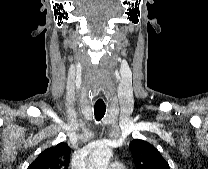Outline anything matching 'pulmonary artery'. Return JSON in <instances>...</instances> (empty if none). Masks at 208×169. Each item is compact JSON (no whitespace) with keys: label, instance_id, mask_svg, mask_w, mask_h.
<instances>
[{"label":"pulmonary artery","instance_id":"obj_1","mask_svg":"<svg viewBox=\"0 0 208 169\" xmlns=\"http://www.w3.org/2000/svg\"><path fill=\"white\" fill-rule=\"evenodd\" d=\"M109 169H125V166L120 162H114L109 166Z\"/></svg>","mask_w":208,"mask_h":169}]
</instances>
